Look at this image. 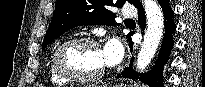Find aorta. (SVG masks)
<instances>
[{
	"mask_svg": "<svg viewBox=\"0 0 205 87\" xmlns=\"http://www.w3.org/2000/svg\"><path fill=\"white\" fill-rule=\"evenodd\" d=\"M147 18V31L137 56V69L143 71L150 64L163 35L164 17L156 0H143Z\"/></svg>",
	"mask_w": 205,
	"mask_h": 87,
	"instance_id": "obj_1",
	"label": "aorta"
}]
</instances>
